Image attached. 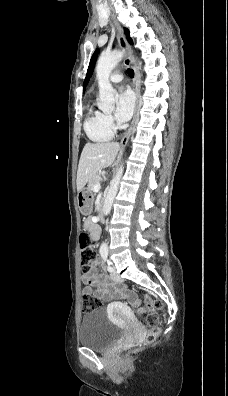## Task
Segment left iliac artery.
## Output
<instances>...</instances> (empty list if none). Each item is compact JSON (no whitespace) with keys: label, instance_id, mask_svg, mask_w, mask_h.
I'll list each match as a JSON object with an SVG mask.
<instances>
[{"label":"left iliac artery","instance_id":"1","mask_svg":"<svg viewBox=\"0 0 228 396\" xmlns=\"http://www.w3.org/2000/svg\"><path fill=\"white\" fill-rule=\"evenodd\" d=\"M101 257L103 258L104 262H105L106 265H107V270H108L109 272H111V271L113 270V268H112V266H111V263L108 261V253H107V252H102V253H101Z\"/></svg>","mask_w":228,"mask_h":396}]
</instances>
